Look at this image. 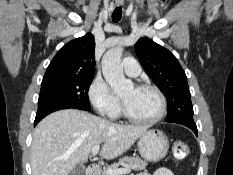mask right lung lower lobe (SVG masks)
Returning <instances> with one entry per match:
<instances>
[{
    "instance_id": "right-lung-lower-lobe-1",
    "label": "right lung lower lobe",
    "mask_w": 233,
    "mask_h": 175,
    "mask_svg": "<svg viewBox=\"0 0 233 175\" xmlns=\"http://www.w3.org/2000/svg\"><path fill=\"white\" fill-rule=\"evenodd\" d=\"M59 110H60V109H59ZM54 111H57V110H50V111H48V112H46V113H44V114H41V115L36 116L35 121H34V126H36L37 123H38L41 119H43L45 116H47L48 114H50V113H52V112H54Z\"/></svg>"
}]
</instances>
